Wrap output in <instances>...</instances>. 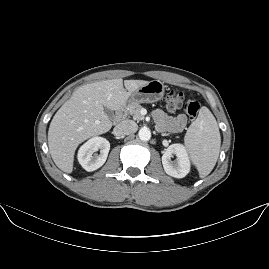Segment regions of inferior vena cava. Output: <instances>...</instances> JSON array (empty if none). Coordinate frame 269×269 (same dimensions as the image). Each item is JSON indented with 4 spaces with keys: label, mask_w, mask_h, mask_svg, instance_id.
<instances>
[{
    "label": "inferior vena cava",
    "mask_w": 269,
    "mask_h": 269,
    "mask_svg": "<svg viewBox=\"0 0 269 269\" xmlns=\"http://www.w3.org/2000/svg\"><path fill=\"white\" fill-rule=\"evenodd\" d=\"M138 126L133 120H124L119 123L115 128L117 135H130L137 131Z\"/></svg>",
    "instance_id": "inferior-vena-cava-1"
}]
</instances>
